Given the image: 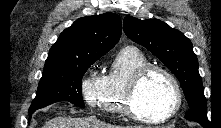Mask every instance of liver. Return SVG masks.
Listing matches in <instances>:
<instances>
[{"label": "liver", "mask_w": 221, "mask_h": 128, "mask_svg": "<svg viewBox=\"0 0 221 128\" xmlns=\"http://www.w3.org/2000/svg\"><path fill=\"white\" fill-rule=\"evenodd\" d=\"M43 128H122L100 121L96 116L84 118L55 117L45 123ZM124 128H143L142 126H126Z\"/></svg>", "instance_id": "1"}]
</instances>
